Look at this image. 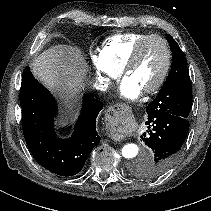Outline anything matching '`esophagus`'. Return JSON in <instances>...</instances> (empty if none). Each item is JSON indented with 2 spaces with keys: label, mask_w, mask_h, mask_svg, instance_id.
<instances>
[{
  "label": "esophagus",
  "mask_w": 211,
  "mask_h": 211,
  "mask_svg": "<svg viewBox=\"0 0 211 211\" xmlns=\"http://www.w3.org/2000/svg\"><path fill=\"white\" fill-rule=\"evenodd\" d=\"M126 109V106L124 105H121V104H116V105H113L111 106L108 111L111 112V113H117L121 110H125ZM109 137L114 139V140H118V138L116 136H113L112 134H109Z\"/></svg>",
  "instance_id": "1"
}]
</instances>
